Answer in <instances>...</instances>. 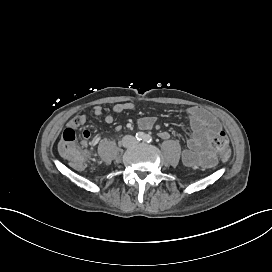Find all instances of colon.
Listing matches in <instances>:
<instances>
[{
    "label": "colon",
    "instance_id": "5ec220e1",
    "mask_svg": "<svg viewBox=\"0 0 272 272\" xmlns=\"http://www.w3.org/2000/svg\"><path fill=\"white\" fill-rule=\"evenodd\" d=\"M214 159L226 160L230 154L229 137L221 131L212 142ZM59 155L64 162H69L76 170L84 169L83 151L78 147V131L74 127H65L61 131Z\"/></svg>",
    "mask_w": 272,
    "mask_h": 272
}]
</instances>
